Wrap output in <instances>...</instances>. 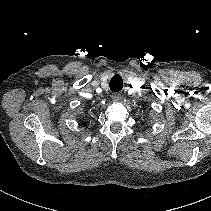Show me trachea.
Instances as JSON below:
<instances>
[{"label": "trachea", "instance_id": "1", "mask_svg": "<svg viewBox=\"0 0 211 211\" xmlns=\"http://www.w3.org/2000/svg\"><path fill=\"white\" fill-rule=\"evenodd\" d=\"M110 89L113 92H118L123 87V81L122 78L119 75H115L109 83Z\"/></svg>", "mask_w": 211, "mask_h": 211}]
</instances>
